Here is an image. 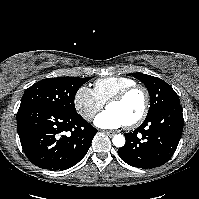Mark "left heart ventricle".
Masks as SVG:
<instances>
[{"mask_svg": "<svg viewBox=\"0 0 199 199\" xmlns=\"http://www.w3.org/2000/svg\"><path fill=\"white\" fill-rule=\"evenodd\" d=\"M144 95L141 91L131 92L123 101L108 105V110L117 113L125 124L135 120L142 112Z\"/></svg>", "mask_w": 199, "mask_h": 199, "instance_id": "obj_1", "label": "left heart ventricle"}]
</instances>
